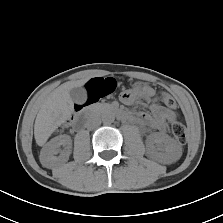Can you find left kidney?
Segmentation results:
<instances>
[{"instance_id":"1","label":"left kidney","mask_w":223,"mask_h":223,"mask_svg":"<svg viewBox=\"0 0 223 223\" xmlns=\"http://www.w3.org/2000/svg\"><path fill=\"white\" fill-rule=\"evenodd\" d=\"M147 153L150 158L169 164L180 158L182 150L178 143L170 136L155 133L148 138Z\"/></svg>"}]
</instances>
